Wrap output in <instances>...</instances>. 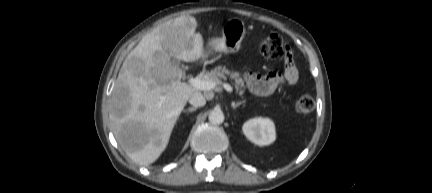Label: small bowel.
<instances>
[{
  "label": "small bowel",
  "mask_w": 432,
  "mask_h": 193,
  "mask_svg": "<svg viewBox=\"0 0 432 193\" xmlns=\"http://www.w3.org/2000/svg\"><path fill=\"white\" fill-rule=\"evenodd\" d=\"M244 79L248 89L260 96H267L275 92L281 85H294L298 80V71L292 59H286L283 72H271L259 75L251 71L244 72Z\"/></svg>",
  "instance_id": "c3829d8e"
}]
</instances>
